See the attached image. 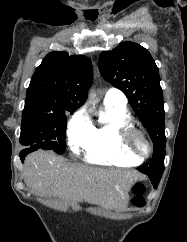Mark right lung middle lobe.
I'll use <instances>...</instances> for the list:
<instances>
[{
	"label": "right lung middle lobe",
	"mask_w": 187,
	"mask_h": 242,
	"mask_svg": "<svg viewBox=\"0 0 187 242\" xmlns=\"http://www.w3.org/2000/svg\"><path fill=\"white\" fill-rule=\"evenodd\" d=\"M66 113L23 111L20 143L28 148L53 150L62 154L66 147Z\"/></svg>",
	"instance_id": "1"
}]
</instances>
